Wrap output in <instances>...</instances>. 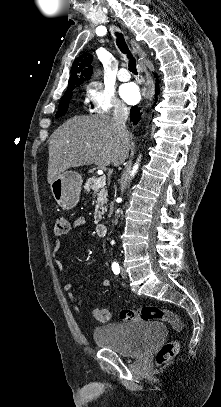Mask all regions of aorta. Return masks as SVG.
<instances>
[{
    "mask_svg": "<svg viewBox=\"0 0 221 407\" xmlns=\"http://www.w3.org/2000/svg\"><path fill=\"white\" fill-rule=\"evenodd\" d=\"M137 169H138V164H136V165L133 167V170H132L131 175H134V174L136 173Z\"/></svg>",
    "mask_w": 221,
    "mask_h": 407,
    "instance_id": "aorta-1",
    "label": "aorta"
}]
</instances>
